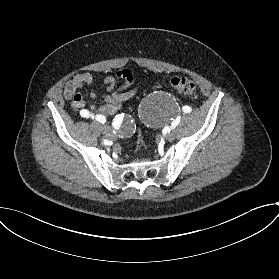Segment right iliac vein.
<instances>
[{"instance_id":"1","label":"right iliac vein","mask_w":279,"mask_h":279,"mask_svg":"<svg viewBox=\"0 0 279 279\" xmlns=\"http://www.w3.org/2000/svg\"><path fill=\"white\" fill-rule=\"evenodd\" d=\"M100 131L103 132V134H108L110 135L111 134V128L107 125H104V126H101L100 127Z\"/></svg>"}]
</instances>
